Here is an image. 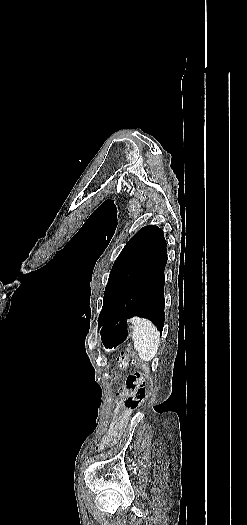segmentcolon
<instances>
[{
    "mask_svg": "<svg viewBox=\"0 0 247 525\" xmlns=\"http://www.w3.org/2000/svg\"><path fill=\"white\" fill-rule=\"evenodd\" d=\"M118 362L115 366L117 371H121L124 367L131 363H135V357L131 349L124 350L118 357ZM141 372H136L128 376L126 384L129 388L134 389L135 393L127 395L124 400L125 406L129 410H134L147 396V373L149 367L146 364L141 365Z\"/></svg>",
    "mask_w": 247,
    "mask_h": 525,
    "instance_id": "obj_1",
    "label": "colon"
}]
</instances>
